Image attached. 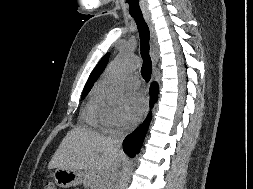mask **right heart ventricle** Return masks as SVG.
Wrapping results in <instances>:
<instances>
[{"label":"right heart ventricle","mask_w":253,"mask_h":189,"mask_svg":"<svg viewBox=\"0 0 253 189\" xmlns=\"http://www.w3.org/2000/svg\"><path fill=\"white\" fill-rule=\"evenodd\" d=\"M99 100L100 93L98 90H94L83 111V119L91 126H97L100 124Z\"/></svg>","instance_id":"e07e8e85"}]
</instances>
